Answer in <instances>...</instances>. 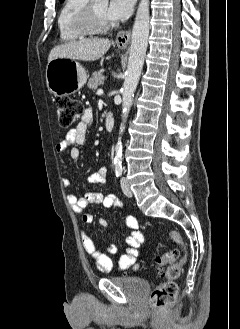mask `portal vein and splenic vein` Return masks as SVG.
Instances as JSON below:
<instances>
[{"mask_svg": "<svg viewBox=\"0 0 240 329\" xmlns=\"http://www.w3.org/2000/svg\"><path fill=\"white\" fill-rule=\"evenodd\" d=\"M103 93V90L102 89H99L98 91H97V94H102Z\"/></svg>", "mask_w": 240, "mask_h": 329, "instance_id": "portal-vein-and-splenic-vein-1", "label": "portal vein and splenic vein"}]
</instances>
